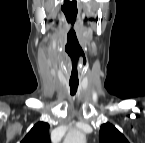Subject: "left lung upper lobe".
<instances>
[{"instance_id": "5c2ea615", "label": "left lung upper lobe", "mask_w": 145, "mask_h": 143, "mask_svg": "<svg viewBox=\"0 0 145 143\" xmlns=\"http://www.w3.org/2000/svg\"><path fill=\"white\" fill-rule=\"evenodd\" d=\"M100 143H127V139L120 133L115 126L105 123L100 128Z\"/></svg>"}]
</instances>
